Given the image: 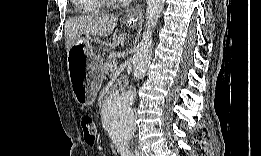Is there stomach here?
I'll return each mask as SVG.
<instances>
[{"mask_svg": "<svg viewBox=\"0 0 261 156\" xmlns=\"http://www.w3.org/2000/svg\"><path fill=\"white\" fill-rule=\"evenodd\" d=\"M133 15L127 21L133 27L138 21ZM97 42L90 36L80 37L68 52V72L75 100L82 106L92 105L102 81L101 67L103 59L94 51L93 43ZM86 57L85 65L78 67V60Z\"/></svg>", "mask_w": 261, "mask_h": 156, "instance_id": "stomach-1", "label": "stomach"}]
</instances>
